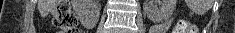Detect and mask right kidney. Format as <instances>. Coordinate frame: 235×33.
I'll return each instance as SVG.
<instances>
[{"instance_id": "ca27d5eb", "label": "right kidney", "mask_w": 235, "mask_h": 33, "mask_svg": "<svg viewBox=\"0 0 235 33\" xmlns=\"http://www.w3.org/2000/svg\"><path fill=\"white\" fill-rule=\"evenodd\" d=\"M90 0H74V9L77 15L85 21L91 20V22L96 23L99 18L100 11L95 10L90 12L86 6Z\"/></svg>"}]
</instances>
